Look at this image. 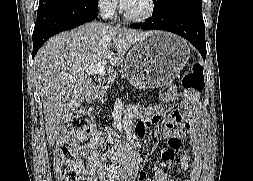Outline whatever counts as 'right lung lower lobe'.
I'll use <instances>...</instances> for the list:
<instances>
[{
  "label": "right lung lower lobe",
  "mask_w": 253,
  "mask_h": 181,
  "mask_svg": "<svg viewBox=\"0 0 253 181\" xmlns=\"http://www.w3.org/2000/svg\"><path fill=\"white\" fill-rule=\"evenodd\" d=\"M98 6L84 1L67 2L37 11L33 31V57L51 36L73 29L97 17Z\"/></svg>",
  "instance_id": "right-lung-lower-lobe-1"
}]
</instances>
